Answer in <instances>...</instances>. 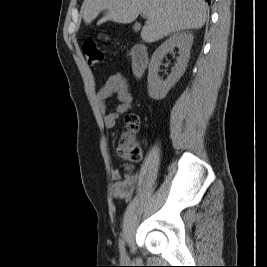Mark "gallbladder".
Listing matches in <instances>:
<instances>
[{
    "label": "gallbladder",
    "mask_w": 267,
    "mask_h": 267,
    "mask_svg": "<svg viewBox=\"0 0 267 267\" xmlns=\"http://www.w3.org/2000/svg\"><path fill=\"white\" fill-rule=\"evenodd\" d=\"M139 28H140V25H139V24H135V25H134V29H135V30H138Z\"/></svg>",
    "instance_id": "gallbladder-1"
}]
</instances>
